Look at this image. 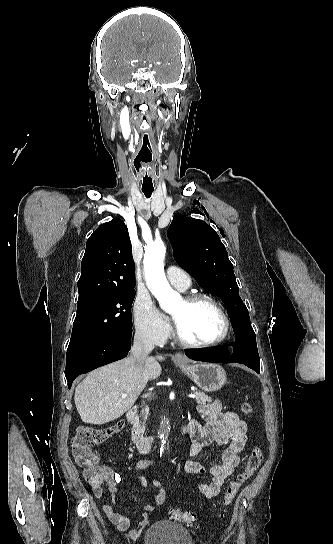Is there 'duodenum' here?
<instances>
[{
	"label": "duodenum",
	"instance_id": "410a0bca",
	"mask_svg": "<svg viewBox=\"0 0 333 544\" xmlns=\"http://www.w3.org/2000/svg\"><path fill=\"white\" fill-rule=\"evenodd\" d=\"M137 413L136 406L131 407L126 413V419L130 426L131 441L139 453L147 454L157 447V439L155 436H147L141 431L138 427ZM180 432L184 433L185 431L181 428Z\"/></svg>",
	"mask_w": 333,
	"mask_h": 544
}]
</instances>
